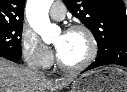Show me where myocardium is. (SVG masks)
Wrapping results in <instances>:
<instances>
[{"label":"myocardium","instance_id":"obj_1","mask_svg":"<svg viewBox=\"0 0 127 92\" xmlns=\"http://www.w3.org/2000/svg\"><path fill=\"white\" fill-rule=\"evenodd\" d=\"M72 32H82L86 35L89 42L88 55L81 63L76 65L65 64L58 55L56 56V62L61 70L68 73H77L85 70L94 62L98 54V42L94 33L84 25H80V24L72 25L71 27L68 28L67 33H72Z\"/></svg>","mask_w":127,"mask_h":92}]
</instances>
